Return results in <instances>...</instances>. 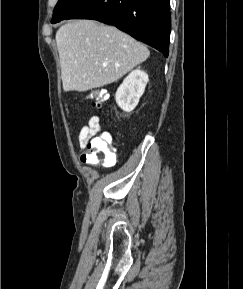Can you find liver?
Listing matches in <instances>:
<instances>
[{"label":"liver","instance_id":"obj_1","mask_svg":"<svg viewBox=\"0 0 243 289\" xmlns=\"http://www.w3.org/2000/svg\"><path fill=\"white\" fill-rule=\"evenodd\" d=\"M64 91L113 83L149 57L147 47L116 27L74 20L56 32Z\"/></svg>","mask_w":243,"mask_h":289}]
</instances>
